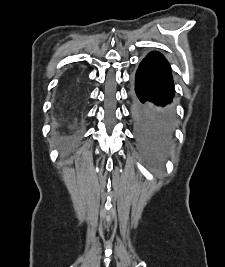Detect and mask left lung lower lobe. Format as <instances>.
<instances>
[{"label": "left lung lower lobe", "mask_w": 225, "mask_h": 267, "mask_svg": "<svg viewBox=\"0 0 225 267\" xmlns=\"http://www.w3.org/2000/svg\"><path fill=\"white\" fill-rule=\"evenodd\" d=\"M133 93L136 105L147 108L155 123L174 127L175 96L171 67L159 52H150L140 63L133 78Z\"/></svg>", "instance_id": "obj_1"}]
</instances>
